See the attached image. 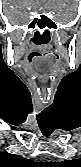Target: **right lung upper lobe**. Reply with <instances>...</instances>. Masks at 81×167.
<instances>
[{
    "label": "right lung upper lobe",
    "instance_id": "1",
    "mask_svg": "<svg viewBox=\"0 0 81 167\" xmlns=\"http://www.w3.org/2000/svg\"><path fill=\"white\" fill-rule=\"evenodd\" d=\"M38 164L27 160L20 155L8 152L0 153V167H36Z\"/></svg>",
    "mask_w": 81,
    "mask_h": 167
}]
</instances>
